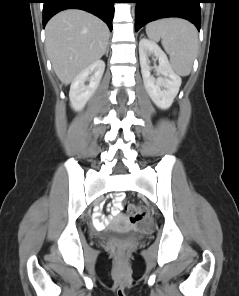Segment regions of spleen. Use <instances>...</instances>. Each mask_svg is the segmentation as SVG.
Masks as SVG:
<instances>
[{
  "label": "spleen",
  "instance_id": "obj_1",
  "mask_svg": "<svg viewBox=\"0 0 239 296\" xmlns=\"http://www.w3.org/2000/svg\"><path fill=\"white\" fill-rule=\"evenodd\" d=\"M146 33L153 41L162 40L170 56L171 66L177 74H190L199 46L194 25L182 19H161L149 23Z\"/></svg>",
  "mask_w": 239,
  "mask_h": 296
}]
</instances>
